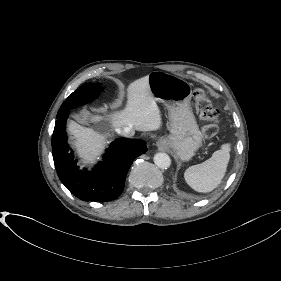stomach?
Returning a JSON list of instances; mask_svg holds the SVG:
<instances>
[{"label": "stomach", "mask_w": 281, "mask_h": 281, "mask_svg": "<svg viewBox=\"0 0 281 281\" xmlns=\"http://www.w3.org/2000/svg\"><path fill=\"white\" fill-rule=\"evenodd\" d=\"M149 88L157 102L169 112L170 134L160 144L171 149L182 161L190 160L202 144L201 132L190 107L189 84L163 71L148 75Z\"/></svg>", "instance_id": "1"}]
</instances>
